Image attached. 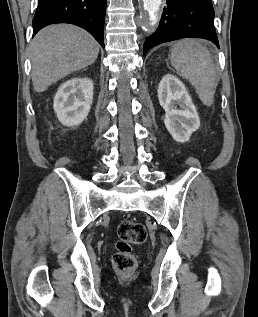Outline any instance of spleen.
I'll list each match as a JSON object with an SVG mask.
<instances>
[{"label":"spleen","instance_id":"3e777b00","mask_svg":"<svg viewBox=\"0 0 258 317\" xmlns=\"http://www.w3.org/2000/svg\"><path fill=\"white\" fill-rule=\"evenodd\" d=\"M171 62L179 74L193 84L203 104L210 106L214 100L218 76L208 48L193 38L179 40L171 48Z\"/></svg>","mask_w":258,"mask_h":317}]
</instances>
